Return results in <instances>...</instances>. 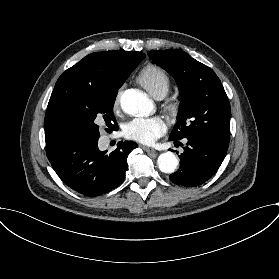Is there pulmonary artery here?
Returning <instances> with one entry per match:
<instances>
[{
	"instance_id": "1",
	"label": "pulmonary artery",
	"mask_w": 279,
	"mask_h": 279,
	"mask_svg": "<svg viewBox=\"0 0 279 279\" xmlns=\"http://www.w3.org/2000/svg\"><path fill=\"white\" fill-rule=\"evenodd\" d=\"M164 97V95L163 94H160V95H158L156 98L157 99H162Z\"/></svg>"
}]
</instances>
